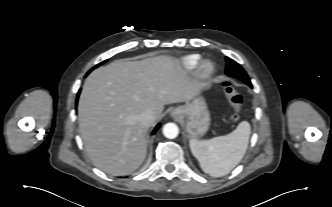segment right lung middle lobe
Here are the masks:
<instances>
[{
    "mask_svg": "<svg viewBox=\"0 0 332 207\" xmlns=\"http://www.w3.org/2000/svg\"><path fill=\"white\" fill-rule=\"evenodd\" d=\"M105 62V61H104ZM104 62L99 63L97 66L93 67L88 73H90L93 69H95L96 67H98L99 65L103 64Z\"/></svg>",
    "mask_w": 332,
    "mask_h": 207,
    "instance_id": "right-lung-middle-lobe-1",
    "label": "right lung middle lobe"
}]
</instances>
